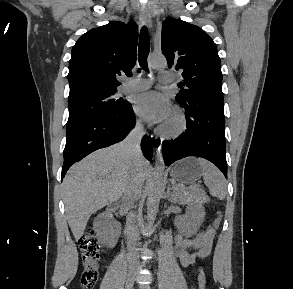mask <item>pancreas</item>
<instances>
[{"instance_id": "obj_1", "label": "pancreas", "mask_w": 293, "mask_h": 289, "mask_svg": "<svg viewBox=\"0 0 293 289\" xmlns=\"http://www.w3.org/2000/svg\"><path fill=\"white\" fill-rule=\"evenodd\" d=\"M171 201L178 203L203 204L208 202L209 198L200 188H185L181 185H175L171 194Z\"/></svg>"}]
</instances>
